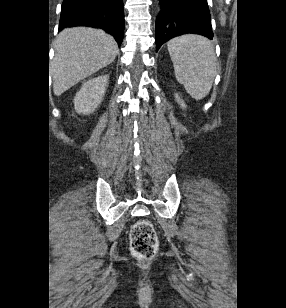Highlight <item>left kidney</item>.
<instances>
[{"label": "left kidney", "instance_id": "5707ae66", "mask_svg": "<svg viewBox=\"0 0 286 308\" xmlns=\"http://www.w3.org/2000/svg\"><path fill=\"white\" fill-rule=\"evenodd\" d=\"M175 98H176L177 103H178L183 109H185V108H186V104H185L184 101L179 97L178 94H175Z\"/></svg>", "mask_w": 286, "mask_h": 308}]
</instances>
